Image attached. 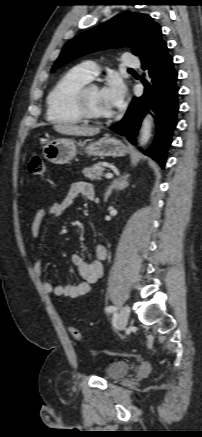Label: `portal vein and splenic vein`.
Instances as JSON below:
<instances>
[{
  "instance_id": "portal-vein-and-splenic-vein-1",
  "label": "portal vein and splenic vein",
  "mask_w": 202,
  "mask_h": 437,
  "mask_svg": "<svg viewBox=\"0 0 202 437\" xmlns=\"http://www.w3.org/2000/svg\"><path fill=\"white\" fill-rule=\"evenodd\" d=\"M105 177L108 178V179H110V178L113 177V174H112V173H106Z\"/></svg>"
}]
</instances>
